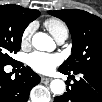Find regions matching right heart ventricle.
I'll list each match as a JSON object with an SVG mask.
<instances>
[{
  "label": "right heart ventricle",
  "mask_w": 102,
  "mask_h": 102,
  "mask_svg": "<svg viewBox=\"0 0 102 102\" xmlns=\"http://www.w3.org/2000/svg\"><path fill=\"white\" fill-rule=\"evenodd\" d=\"M44 26L52 34V36L57 40L61 36L68 37L69 29L64 21L59 18H48L44 22Z\"/></svg>",
  "instance_id": "right-heart-ventricle-1"
}]
</instances>
